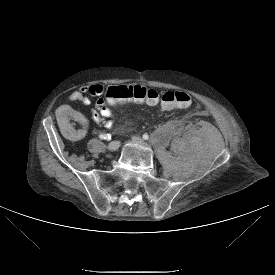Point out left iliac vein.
I'll return each instance as SVG.
<instances>
[{
	"label": "left iliac vein",
	"mask_w": 275,
	"mask_h": 275,
	"mask_svg": "<svg viewBox=\"0 0 275 275\" xmlns=\"http://www.w3.org/2000/svg\"><path fill=\"white\" fill-rule=\"evenodd\" d=\"M132 141L135 143H143V140L139 136H133Z\"/></svg>",
	"instance_id": "4c4485c4"
}]
</instances>
